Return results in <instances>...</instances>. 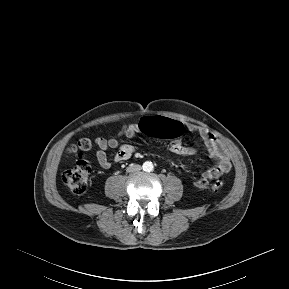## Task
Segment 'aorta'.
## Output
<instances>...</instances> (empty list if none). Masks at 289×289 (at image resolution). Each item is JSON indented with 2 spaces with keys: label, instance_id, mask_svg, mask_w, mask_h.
<instances>
[{
  "label": "aorta",
  "instance_id": "1",
  "mask_svg": "<svg viewBox=\"0 0 289 289\" xmlns=\"http://www.w3.org/2000/svg\"><path fill=\"white\" fill-rule=\"evenodd\" d=\"M143 170L146 172H151L154 169L153 163L150 161H146L142 166Z\"/></svg>",
  "mask_w": 289,
  "mask_h": 289
}]
</instances>
